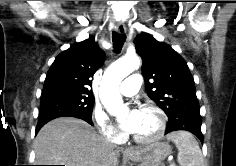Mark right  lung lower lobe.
<instances>
[{
	"mask_svg": "<svg viewBox=\"0 0 236 166\" xmlns=\"http://www.w3.org/2000/svg\"><path fill=\"white\" fill-rule=\"evenodd\" d=\"M63 116H69V117H75V118H79L82 119L86 122H88L90 125H93L92 120L90 117H87L86 115L79 113V112H67L61 116H56V117H50V118H46V119H42L38 121L37 127H36V134L38 133V131L49 121L58 118V117H63Z\"/></svg>",
	"mask_w": 236,
	"mask_h": 166,
	"instance_id": "right-lung-lower-lobe-1",
	"label": "right lung lower lobe"
}]
</instances>
